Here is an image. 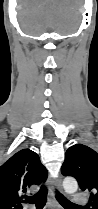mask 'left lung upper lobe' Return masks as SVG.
<instances>
[{"label": "left lung upper lobe", "mask_w": 98, "mask_h": 209, "mask_svg": "<svg viewBox=\"0 0 98 209\" xmlns=\"http://www.w3.org/2000/svg\"><path fill=\"white\" fill-rule=\"evenodd\" d=\"M61 172L76 178L81 190L90 193L91 209H98V153L82 144L71 146Z\"/></svg>", "instance_id": "obj_1"}]
</instances>
